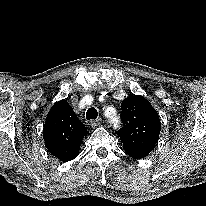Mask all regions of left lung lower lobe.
<instances>
[{
  "label": "left lung lower lobe",
  "instance_id": "1",
  "mask_svg": "<svg viewBox=\"0 0 206 206\" xmlns=\"http://www.w3.org/2000/svg\"><path fill=\"white\" fill-rule=\"evenodd\" d=\"M130 157L135 158V159H139L142 157L147 156L146 154L142 153V152H135V151H131V152H126Z\"/></svg>",
  "mask_w": 206,
  "mask_h": 206
}]
</instances>
